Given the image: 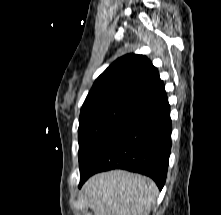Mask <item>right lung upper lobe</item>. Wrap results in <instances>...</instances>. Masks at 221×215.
<instances>
[{"label": "right lung upper lobe", "instance_id": "obj_1", "mask_svg": "<svg viewBox=\"0 0 221 215\" xmlns=\"http://www.w3.org/2000/svg\"><path fill=\"white\" fill-rule=\"evenodd\" d=\"M165 92L158 70L144 55L129 54L113 62L94 82L83 105L119 102L138 107Z\"/></svg>", "mask_w": 221, "mask_h": 215}]
</instances>
